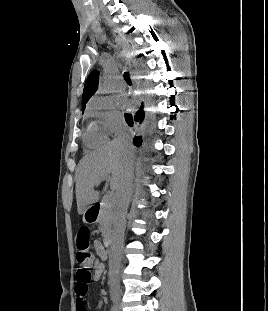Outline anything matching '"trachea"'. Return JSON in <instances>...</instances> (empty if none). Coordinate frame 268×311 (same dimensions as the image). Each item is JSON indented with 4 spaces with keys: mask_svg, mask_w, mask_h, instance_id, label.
<instances>
[{
    "mask_svg": "<svg viewBox=\"0 0 268 311\" xmlns=\"http://www.w3.org/2000/svg\"><path fill=\"white\" fill-rule=\"evenodd\" d=\"M124 79L127 83H131L130 75L128 72L124 73Z\"/></svg>",
    "mask_w": 268,
    "mask_h": 311,
    "instance_id": "1",
    "label": "trachea"
}]
</instances>
